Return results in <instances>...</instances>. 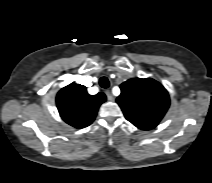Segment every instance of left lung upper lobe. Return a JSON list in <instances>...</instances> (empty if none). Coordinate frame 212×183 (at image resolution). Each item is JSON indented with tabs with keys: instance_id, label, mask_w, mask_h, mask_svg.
Here are the masks:
<instances>
[{
	"instance_id": "left-lung-upper-lobe-1",
	"label": "left lung upper lobe",
	"mask_w": 212,
	"mask_h": 183,
	"mask_svg": "<svg viewBox=\"0 0 212 183\" xmlns=\"http://www.w3.org/2000/svg\"><path fill=\"white\" fill-rule=\"evenodd\" d=\"M121 94L117 103L125 118L143 130L157 126L169 108L166 89L151 78H133L120 85Z\"/></svg>"
}]
</instances>
